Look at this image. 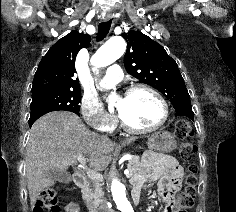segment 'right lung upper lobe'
<instances>
[{"mask_svg": "<svg viewBox=\"0 0 236 212\" xmlns=\"http://www.w3.org/2000/svg\"><path fill=\"white\" fill-rule=\"evenodd\" d=\"M90 37L75 30L58 40L42 58L35 73L32 94L55 90H80L74 77L75 59L80 49L87 48Z\"/></svg>", "mask_w": 236, "mask_h": 212, "instance_id": "right-lung-upper-lobe-1", "label": "right lung upper lobe"}]
</instances>
